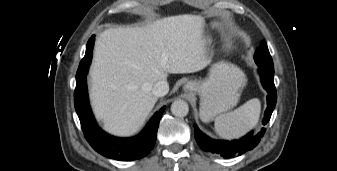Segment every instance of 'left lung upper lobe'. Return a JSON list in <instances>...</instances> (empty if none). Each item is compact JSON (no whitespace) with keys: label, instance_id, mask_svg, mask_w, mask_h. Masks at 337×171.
Wrapping results in <instances>:
<instances>
[{"label":"left lung upper lobe","instance_id":"left-lung-upper-lobe-1","mask_svg":"<svg viewBox=\"0 0 337 171\" xmlns=\"http://www.w3.org/2000/svg\"><path fill=\"white\" fill-rule=\"evenodd\" d=\"M254 60L257 63V65L274 68L273 61L265 41H262L259 48H257L254 54Z\"/></svg>","mask_w":337,"mask_h":171}]
</instances>
